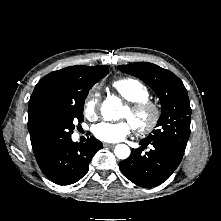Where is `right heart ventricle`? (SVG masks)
Returning <instances> with one entry per match:
<instances>
[{
    "instance_id": "1",
    "label": "right heart ventricle",
    "mask_w": 221,
    "mask_h": 221,
    "mask_svg": "<svg viewBox=\"0 0 221 221\" xmlns=\"http://www.w3.org/2000/svg\"><path fill=\"white\" fill-rule=\"evenodd\" d=\"M111 85L121 97L130 103L147 99L150 96V90L147 85L136 78H118Z\"/></svg>"
}]
</instances>
